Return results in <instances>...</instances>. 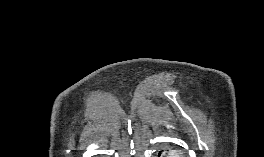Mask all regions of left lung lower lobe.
Returning a JSON list of instances; mask_svg holds the SVG:
<instances>
[{
    "label": "left lung lower lobe",
    "mask_w": 264,
    "mask_h": 157,
    "mask_svg": "<svg viewBox=\"0 0 264 157\" xmlns=\"http://www.w3.org/2000/svg\"><path fill=\"white\" fill-rule=\"evenodd\" d=\"M158 157H178V156H175L173 152L161 151L159 152Z\"/></svg>",
    "instance_id": "obj_1"
}]
</instances>
